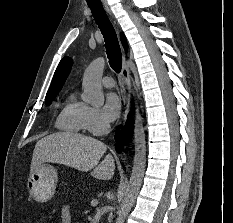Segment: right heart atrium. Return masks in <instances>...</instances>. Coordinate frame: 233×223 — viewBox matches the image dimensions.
<instances>
[{
  "label": "right heart atrium",
  "instance_id": "1",
  "mask_svg": "<svg viewBox=\"0 0 233 223\" xmlns=\"http://www.w3.org/2000/svg\"><path fill=\"white\" fill-rule=\"evenodd\" d=\"M84 129L94 135H102L109 131L110 123L101 109L87 106L84 116Z\"/></svg>",
  "mask_w": 233,
  "mask_h": 223
}]
</instances>
